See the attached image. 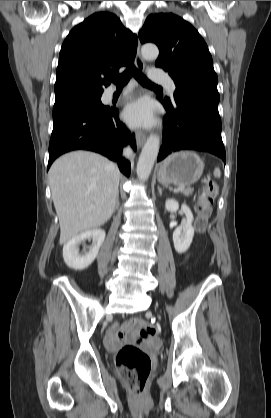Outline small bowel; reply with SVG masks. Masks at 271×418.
<instances>
[{
    "instance_id": "small-bowel-1",
    "label": "small bowel",
    "mask_w": 271,
    "mask_h": 418,
    "mask_svg": "<svg viewBox=\"0 0 271 418\" xmlns=\"http://www.w3.org/2000/svg\"><path fill=\"white\" fill-rule=\"evenodd\" d=\"M138 319H133L130 322L126 323L122 327L114 326L109 331L106 337V345L110 349H115L119 346V344L125 339L128 333L132 332L134 325L138 324ZM152 343H155V340H151Z\"/></svg>"
}]
</instances>
